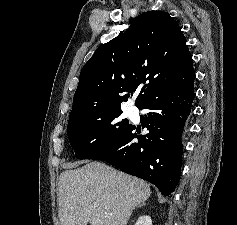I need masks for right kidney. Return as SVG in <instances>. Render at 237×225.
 <instances>
[{
	"label": "right kidney",
	"instance_id": "obj_1",
	"mask_svg": "<svg viewBox=\"0 0 237 225\" xmlns=\"http://www.w3.org/2000/svg\"><path fill=\"white\" fill-rule=\"evenodd\" d=\"M135 225H152V220L149 216H140Z\"/></svg>",
	"mask_w": 237,
	"mask_h": 225
}]
</instances>
